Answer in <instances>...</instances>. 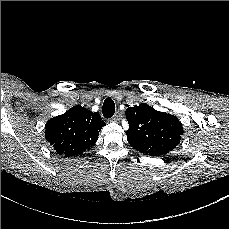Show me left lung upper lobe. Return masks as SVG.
<instances>
[{
  "mask_svg": "<svg viewBox=\"0 0 229 229\" xmlns=\"http://www.w3.org/2000/svg\"><path fill=\"white\" fill-rule=\"evenodd\" d=\"M125 114L129 123L127 140L135 150L149 156H163L180 143L183 127L175 116L145 103L127 108Z\"/></svg>",
  "mask_w": 229,
  "mask_h": 229,
  "instance_id": "1",
  "label": "left lung upper lobe"
}]
</instances>
